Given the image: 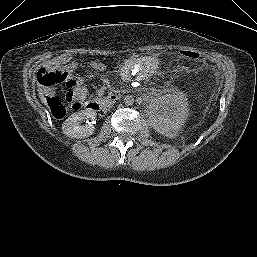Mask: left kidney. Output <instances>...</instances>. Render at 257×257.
<instances>
[{
	"mask_svg": "<svg viewBox=\"0 0 257 257\" xmlns=\"http://www.w3.org/2000/svg\"><path fill=\"white\" fill-rule=\"evenodd\" d=\"M189 116L187 96L177 91L160 96L149 107L153 128L166 136H175Z\"/></svg>",
	"mask_w": 257,
	"mask_h": 257,
	"instance_id": "1",
	"label": "left kidney"
}]
</instances>
